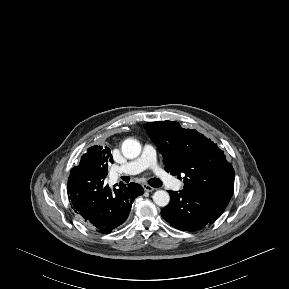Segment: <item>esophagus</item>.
Returning <instances> with one entry per match:
<instances>
[{"instance_id":"34e87169","label":"esophagus","mask_w":289,"mask_h":289,"mask_svg":"<svg viewBox=\"0 0 289 289\" xmlns=\"http://www.w3.org/2000/svg\"><path fill=\"white\" fill-rule=\"evenodd\" d=\"M143 189L146 191V192H152L155 190V188L151 187L150 185H147V184H143Z\"/></svg>"}]
</instances>
